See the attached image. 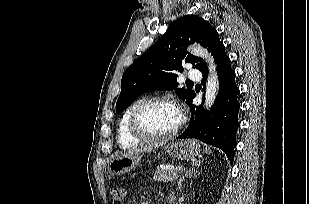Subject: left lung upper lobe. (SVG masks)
<instances>
[{"mask_svg":"<svg viewBox=\"0 0 309 204\" xmlns=\"http://www.w3.org/2000/svg\"><path fill=\"white\" fill-rule=\"evenodd\" d=\"M195 42L208 48L214 58L223 46L216 29L201 17L187 15L170 24L166 33L124 72L117 113L143 93L154 90H175L188 104L194 91L177 88V72L183 71V63H191L201 72L207 68L202 58L186 51L188 44Z\"/></svg>","mask_w":309,"mask_h":204,"instance_id":"obj_1","label":"left lung upper lobe"}]
</instances>
